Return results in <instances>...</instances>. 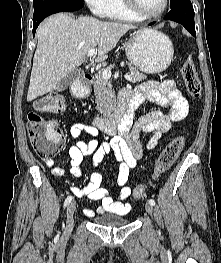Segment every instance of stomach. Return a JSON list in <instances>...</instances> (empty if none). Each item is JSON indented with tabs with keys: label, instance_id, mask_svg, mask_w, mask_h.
Wrapping results in <instances>:
<instances>
[{
	"label": "stomach",
	"instance_id": "1",
	"mask_svg": "<svg viewBox=\"0 0 221 263\" xmlns=\"http://www.w3.org/2000/svg\"><path fill=\"white\" fill-rule=\"evenodd\" d=\"M126 56L140 71L163 72L173 60L174 49L167 35L153 29L133 33L126 45Z\"/></svg>",
	"mask_w": 221,
	"mask_h": 263
}]
</instances>
